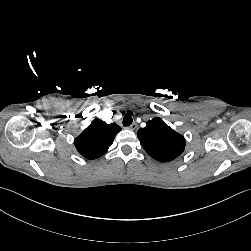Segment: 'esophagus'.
<instances>
[{
	"instance_id": "34e87169",
	"label": "esophagus",
	"mask_w": 251,
	"mask_h": 251,
	"mask_svg": "<svg viewBox=\"0 0 251 251\" xmlns=\"http://www.w3.org/2000/svg\"><path fill=\"white\" fill-rule=\"evenodd\" d=\"M136 128H137V124H136V123H133V124H131V125L128 127V129H129V130H132V131H134Z\"/></svg>"
}]
</instances>
